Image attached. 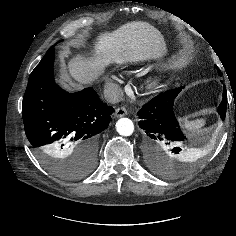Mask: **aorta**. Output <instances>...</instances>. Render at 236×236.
Returning a JSON list of instances; mask_svg holds the SVG:
<instances>
[{"instance_id": "aorta-1", "label": "aorta", "mask_w": 236, "mask_h": 236, "mask_svg": "<svg viewBox=\"0 0 236 236\" xmlns=\"http://www.w3.org/2000/svg\"><path fill=\"white\" fill-rule=\"evenodd\" d=\"M116 131L122 136H130L134 131V124L129 118H121L116 122Z\"/></svg>"}]
</instances>
